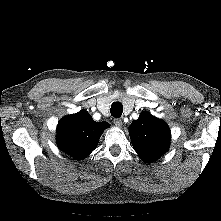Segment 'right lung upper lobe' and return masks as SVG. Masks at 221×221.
I'll return each instance as SVG.
<instances>
[{"label":"right lung upper lobe","instance_id":"right-lung-upper-lobe-1","mask_svg":"<svg viewBox=\"0 0 221 221\" xmlns=\"http://www.w3.org/2000/svg\"><path fill=\"white\" fill-rule=\"evenodd\" d=\"M107 122H96L87 111H80L63 117L57 126L58 147L80 160L87 157L95 148Z\"/></svg>","mask_w":221,"mask_h":221}]
</instances>
